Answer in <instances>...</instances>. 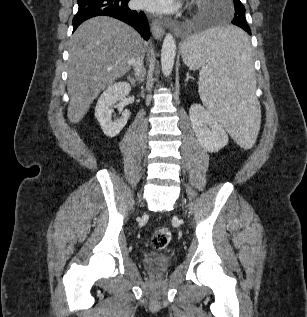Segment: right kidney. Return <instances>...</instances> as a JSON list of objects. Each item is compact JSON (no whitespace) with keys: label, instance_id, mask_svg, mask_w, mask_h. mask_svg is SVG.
Listing matches in <instances>:
<instances>
[{"label":"right kidney","instance_id":"obj_1","mask_svg":"<svg viewBox=\"0 0 307 317\" xmlns=\"http://www.w3.org/2000/svg\"><path fill=\"white\" fill-rule=\"evenodd\" d=\"M130 91L131 86L127 82H118L110 85L99 97L95 107V117L106 136L115 137L126 125L130 112L126 109L119 119L112 120L111 107L118 101H123Z\"/></svg>","mask_w":307,"mask_h":317}]
</instances>
